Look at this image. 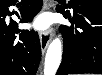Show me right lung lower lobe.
<instances>
[{"label":"right lung lower lobe","mask_w":102,"mask_h":75,"mask_svg":"<svg viewBox=\"0 0 102 75\" xmlns=\"http://www.w3.org/2000/svg\"><path fill=\"white\" fill-rule=\"evenodd\" d=\"M18 0H0V74L35 75L41 55L38 33L34 30H18V24L5 22L9 14L8 7ZM42 0H23L20 15L21 22H31L40 11Z\"/></svg>","instance_id":"1"}]
</instances>
